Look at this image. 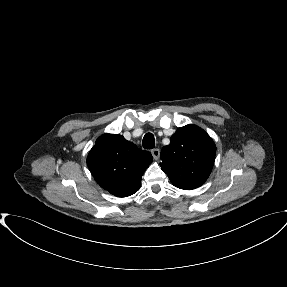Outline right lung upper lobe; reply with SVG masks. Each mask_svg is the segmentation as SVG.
Instances as JSON below:
<instances>
[{
	"instance_id": "right-lung-upper-lobe-1",
	"label": "right lung upper lobe",
	"mask_w": 287,
	"mask_h": 287,
	"mask_svg": "<svg viewBox=\"0 0 287 287\" xmlns=\"http://www.w3.org/2000/svg\"><path fill=\"white\" fill-rule=\"evenodd\" d=\"M152 160L150 152L122 135L104 134L90 150L87 165L102 188L117 197H127L139 190L142 175Z\"/></svg>"
}]
</instances>
